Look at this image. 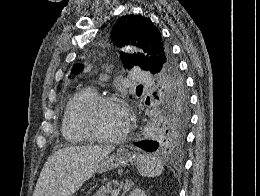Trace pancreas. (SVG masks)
<instances>
[{"label":"pancreas","instance_id":"1","mask_svg":"<svg viewBox=\"0 0 260 196\" xmlns=\"http://www.w3.org/2000/svg\"><path fill=\"white\" fill-rule=\"evenodd\" d=\"M113 184H117L116 180H113ZM109 190H111V186L110 184H107V186H102V188H99L94 196H108Z\"/></svg>","mask_w":260,"mask_h":196}]
</instances>
